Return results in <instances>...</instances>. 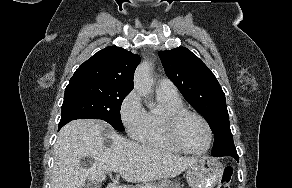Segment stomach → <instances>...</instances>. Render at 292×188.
<instances>
[{"label": "stomach", "instance_id": "0dacf381", "mask_svg": "<svg viewBox=\"0 0 292 188\" xmlns=\"http://www.w3.org/2000/svg\"><path fill=\"white\" fill-rule=\"evenodd\" d=\"M223 171L220 161L203 156L187 168L186 179L191 188H214L221 180Z\"/></svg>", "mask_w": 292, "mask_h": 188}]
</instances>
